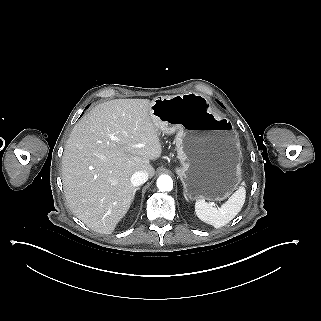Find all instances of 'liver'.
<instances>
[{
  "mask_svg": "<svg viewBox=\"0 0 321 321\" xmlns=\"http://www.w3.org/2000/svg\"><path fill=\"white\" fill-rule=\"evenodd\" d=\"M149 106L148 99L98 104L67 140L62 157L65 198L73 214L95 232L111 234L125 216L135 172L154 176L150 160L159 158L162 148Z\"/></svg>",
  "mask_w": 321,
  "mask_h": 321,
  "instance_id": "1",
  "label": "liver"
}]
</instances>
